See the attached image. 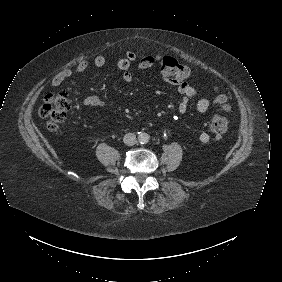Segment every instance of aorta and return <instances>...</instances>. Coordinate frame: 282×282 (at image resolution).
I'll list each match as a JSON object with an SVG mask.
<instances>
[{
  "mask_svg": "<svg viewBox=\"0 0 282 282\" xmlns=\"http://www.w3.org/2000/svg\"><path fill=\"white\" fill-rule=\"evenodd\" d=\"M137 140L140 144H147L150 140V135L146 132H140L137 136Z\"/></svg>",
  "mask_w": 282,
  "mask_h": 282,
  "instance_id": "1",
  "label": "aorta"
}]
</instances>
